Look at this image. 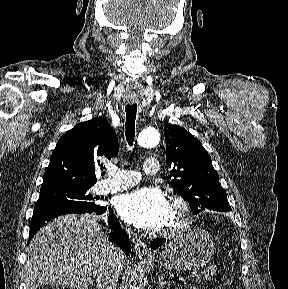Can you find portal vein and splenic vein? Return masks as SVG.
I'll use <instances>...</instances> for the list:
<instances>
[{"instance_id":"18ae733b","label":"portal vein and splenic vein","mask_w":288,"mask_h":289,"mask_svg":"<svg viewBox=\"0 0 288 289\" xmlns=\"http://www.w3.org/2000/svg\"><path fill=\"white\" fill-rule=\"evenodd\" d=\"M201 274H196V278L200 279Z\"/></svg>"}]
</instances>
